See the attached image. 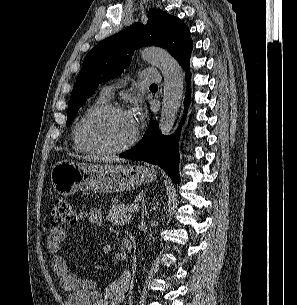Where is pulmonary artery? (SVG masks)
<instances>
[{
    "instance_id": "obj_1",
    "label": "pulmonary artery",
    "mask_w": 297,
    "mask_h": 305,
    "mask_svg": "<svg viewBox=\"0 0 297 305\" xmlns=\"http://www.w3.org/2000/svg\"><path fill=\"white\" fill-rule=\"evenodd\" d=\"M140 79L147 83L159 82V77L157 76L156 71L152 69L143 70L140 73ZM124 83H126V79H120L111 85H105L101 88L100 95L108 99L113 96L115 89Z\"/></svg>"
}]
</instances>
